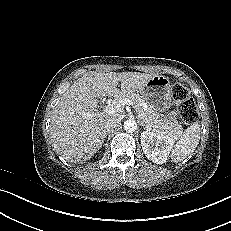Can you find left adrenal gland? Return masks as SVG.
<instances>
[{
    "label": "left adrenal gland",
    "mask_w": 231,
    "mask_h": 231,
    "mask_svg": "<svg viewBox=\"0 0 231 231\" xmlns=\"http://www.w3.org/2000/svg\"><path fill=\"white\" fill-rule=\"evenodd\" d=\"M141 126H143V127H144L145 125H144L143 123H141ZM144 128L146 129L147 127L145 126ZM147 129H148V128H147Z\"/></svg>",
    "instance_id": "obj_1"
}]
</instances>
